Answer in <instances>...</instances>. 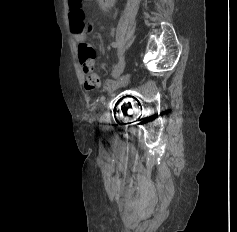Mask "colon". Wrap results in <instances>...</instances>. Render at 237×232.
Instances as JSON below:
<instances>
[{
    "instance_id": "obj_1",
    "label": "colon",
    "mask_w": 237,
    "mask_h": 232,
    "mask_svg": "<svg viewBox=\"0 0 237 232\" xmlns=\"http://www.w3.org/2000/svg\"><path fill=\"white\" fill-rule=\"evenodd\" d=\"M70 24L75 34H86L91 31V25L86 22L83 11V0H69Z\"/></svg>"
}]
</instances>
